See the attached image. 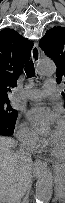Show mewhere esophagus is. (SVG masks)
<instances>
[{
	"label": "esophagus",
	"instance_id": "1",
	"mask_svg": "<svg viewBox=\"0 0 65 203\" xmlns=\"http://www.w3.org/2000/svg\"><path fill=\"white\" fill-rule=\"evenodd\" d=\"M31 56H32V59H33L34 62H38V60L40 58V51H39L37 43H34V46H33L32 52H31ZM44 166H45V162H43L40 159H36V161H35V169L36 170L39 171Z\"/></svg>",
	"mask_w": 65,
	"mask_h": 203
}]
</instances>
